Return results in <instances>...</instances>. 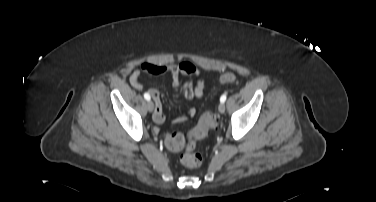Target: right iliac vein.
<instances>
[{
    "instance_id": "obj_1",
    "label": "right iliac vein",
    "mask_w": 376,
    "mask_h": 202,
    "mask_svg": "<svg viewBox=\"0 0 376 202\" xmlns=\"http://www.w3.org/2000/svg\"><path fill=\"white\" fill-rule=\"evenodd\" d=\"M147 108H148L149 112H152L153 109H154V103H153L152 101L149 100V101L147 102Z\"/></svg>"
}]
</instances>
